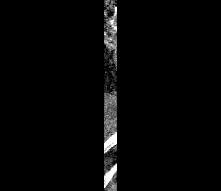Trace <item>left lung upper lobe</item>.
I'll list each match as a JSON object with an SVG mask.
<instances>
[{"label":"left lung upper lobe","instance_id":"5c2ea615","mask_svg":"<svg viewBox=\"0 0 221 191\" xmlns=\"http://www.w3.org/2000/svg\"><path fill=\"white\" fill-rule=\"evenodd\" d=\"M130 144V138L128 136L119 139L118 138V143H117V147H127Z\"/></svg>","mask_w":221,"mask_h":191}]
</instances>
